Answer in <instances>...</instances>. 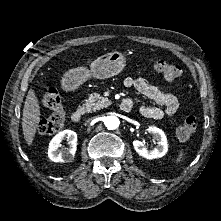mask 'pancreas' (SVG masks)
<instances>
[{
  "label": "pancreas",
  "mask_w": 221,
  "mask_h": 221,
  "mask_svg": "<svg viewBox=\"0 0 221 221\" xmlns=\"http://www.w3.org/2000/svg\"><path fill=\"white\" fill-rule=\"evenodd\" d=\"M110 104L108 98L102 97L98 93H92L84 104V108L87 112L96 111L101 108L107 107Z\"/></svg>",
  "instance_id": "1"
}]
</instances>
